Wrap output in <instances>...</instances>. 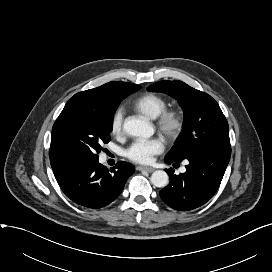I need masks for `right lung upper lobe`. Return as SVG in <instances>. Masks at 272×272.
Segmentation results:
<instances>
[{
  "label": "right lung upper lobe",
  "instance_id": "right-lung-upper-lobe-1",
  "mask_svg": "<svg viewBox=\"0 0 272 272\" xmlns=\"http://www.w3.org/2000/svg\"><path fill=\"white\" fill-rule=\"evenodd\" d=\"M135 84L113 81L100 87L75 94L65 105L61 115L73 110H94L96 112L111 108L127 97ZM53 172L60 170L65 163L50 159Z\"/></svg>",
  "mask_w": 272,
  "mask_h": 272
}]
</instances>
